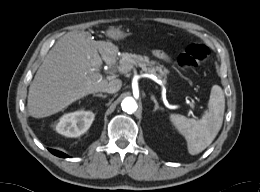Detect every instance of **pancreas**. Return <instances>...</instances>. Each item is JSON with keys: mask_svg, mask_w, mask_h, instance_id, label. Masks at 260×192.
<instances>
[{"mask_svg": "<svg viewBox=\"0 0 260 192\" xmlns=\"http://www.w3.org/2000/svg\"><path fill=\"white\" fill-rule=\"evenodd\" d=\"M122 64L128 65L129 67H132V65L139 66L142 68L143 71L150 74H155L159 78H162L167 73V70L162 69L161 66H155V62L149 61L148 58L142 57L141 55L137 54L123 53L120 59V65ZM163 82L165 83L166 80L163 79Z\"/></svg>", "mask_w": 260, "mask_h": 192, "instance_id": "obj_1", "label": "pancreas"}]
</instances>
